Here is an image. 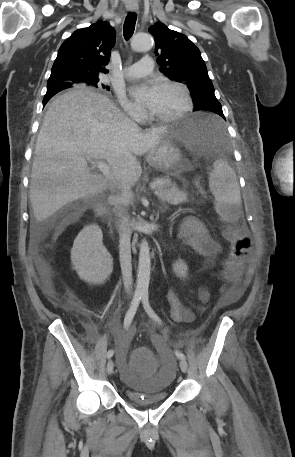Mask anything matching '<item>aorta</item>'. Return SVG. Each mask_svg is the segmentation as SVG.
<instances>
[{
	"mask_svg": "<svg viewBox=\"0 0 295 457\" xmlns=\"http://www.w3.org/2000/svg\"><path fill=\"white\" fill-rule=\"evenodd\" d=\"M153 45L152 37L146 33H137L131 40V49L136 52L147 51ZM150 249L148 242L144 239L141 242L138 263V275L136 292L138 294H148V287L150 281Z\"/></svg>",
	"mask_w": 295,
	"mask_h": 457,
	"instance_id": "1",
	"label": "aorta"
}]
</instances>
